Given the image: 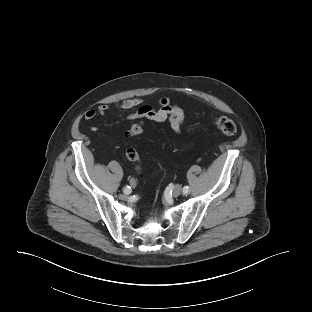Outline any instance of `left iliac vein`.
<instances>
[{"label": "left iliac vein", "mask_w": 312, "mask_h": 312, "mask_svg": "<svg viewBox=\"0 0 312 312\" xmlns=\"http://www.w3.org/2000/svg\"><path fill=\"white\" fill-rule=\"evenodd\" d=\"M172 194L174 197H178L181 194V187L179 185H176L173 188Z\"/></svg>", "instance_id": "4c4485c4"}]
</instances>
